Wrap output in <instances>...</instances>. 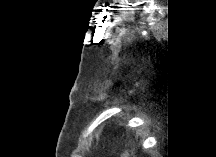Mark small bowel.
<instances>
[{"label": "small bowel", "instance_id": "c3829d8e", "mask_svg": "<svg viewBox=\"0 0 216 157\" xmlns=\"http://www.w3.org/2000/svg\"><path fill=\"white\" fill-rule=\"evenodd\" d=\"M125 155H126V156H128L129 154H128V153H126Z\"/></svg>", "mask_w": 216, "mask_h": 157}]
</instances>
